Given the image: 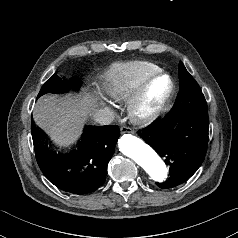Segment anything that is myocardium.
<instances>
[{
  "label": "myocardium",
  "instance_id": "myocardium-1",
  "mask_svg": "<svg viewBox=\"0 0 238 238\" xmlns=\"http://www.w3.org/2000/svg\"><path fill=\"white\" fill-rule=\"evenodd\" d=\"M165 78L168 82V88L157 103L152 109L146 110L144 108L145 102L147 99L148 92L152 84L159 80ZM174 92V83L171 77L163 72H157L152 76L148 77L138 88L133 97L129 100L128 104V115L131 121L136 125H148L159 118L162 113L165 111L172 94Z\"/></svg>",
  "mask_w": 238,
  "mask_h": 238
}]
</instances>
